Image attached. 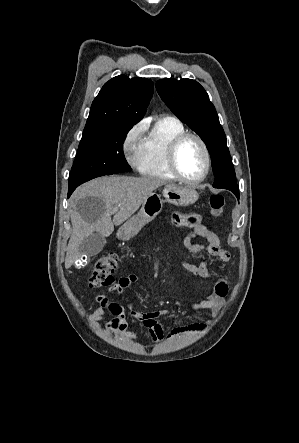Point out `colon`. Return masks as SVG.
I'll return each instance as SVG.
<instances>
[{"instance_id": "5ec220e1", "label": "colon", "mask_w": 299, "mask_h": 443, "mask_svg": "<svg viewBox=\"0 0 299 443\" xmlns=\"http://www.w3.org/2000/svg\"><path fill=\"white\" fill-rule=\"evenodd\" d=\"M224 198L220 195L210 197V213L213 217H219L224 210ZM119 262V255L116 252H109L101 256L95 263L89 276L91 287H104L113 282L112 273Z\"/></svg>"}]
</instances>
